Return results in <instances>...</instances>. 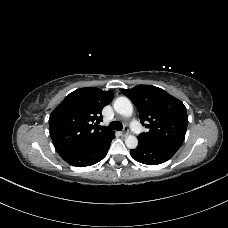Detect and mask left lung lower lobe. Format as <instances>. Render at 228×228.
<instances>
[{
  "label": "left lung lower lobe",
  "instance_id": "0a47b994",
  "mask_svg": "<svg viewBox=\"0 0 228 228\" xmlns=\"http://www.w3.org/2000/svg\"><path fill=\"white\" fill-rule=\"evenodd\" d=\"M179 148L165 144H151L138 140V147L130 150V154L136 161L147 164L157 165L169 160Z\"/></svg>",
  "mask_w": 228,
  "mask_h": 228
}]
</instances>
